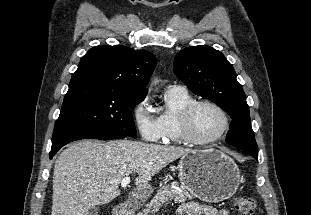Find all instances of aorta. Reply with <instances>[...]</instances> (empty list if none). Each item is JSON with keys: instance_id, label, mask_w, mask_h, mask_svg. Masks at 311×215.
Wrapping results in <instances>:
<instances>
[{"instance_id": "762f6f07", "label": "aorta", "mask_w": 311, "mask_h": 215, "mask_svg": "<svg viewBox=\"0 0 311 215\" xmlns=\"http://www.w3.org/2000/svg\"><path fill=\"white\" fill-rule=\"evenodd\" d=\"M154 83H155V84L157 83V80H156V79L154 80Z\"/></svg>"}]
</instances>
